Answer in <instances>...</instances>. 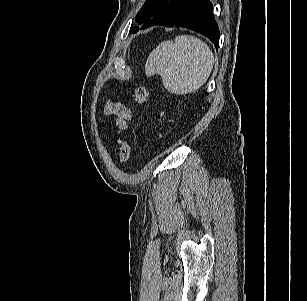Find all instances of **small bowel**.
I'll use <instances>...</instances> for the list:
<instances>
[{
    "label": "small bowel",
    "mask_w": 307,
    "mask_h": 301,
    "mask_svg": "<svg viewBox=\"0 0 307 301\" xmlns=\"http://www.w3.org/2000/svg\"><path fill=\"white\" fill-rule=\"evenodd\" d=\"M104 113L116 118L120 130L125 129L127 122L132 118L130 109L120 102H107L104 106Z\"/></svg>",
    "instance_id": "obj_1"
}]
</instances>
